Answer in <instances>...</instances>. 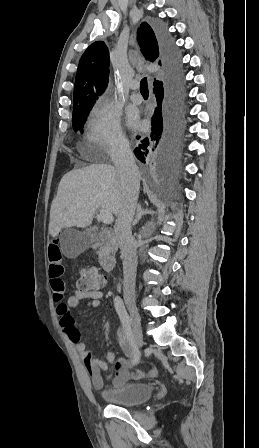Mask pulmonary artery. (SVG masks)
Returning a JSON list of instances; mask_svg holds the SVG:
<instances>
[{
	"instance_id": "e3ab8cb5",
	"label": "pulmonary artery",
	"mask_w": 259,
	"mask_h": 448,
	"mask_svg": "<svg viewBox=\"0 0 259 448\" xmlns=\"http://www.w3.org/2000/svg\"><path fill=\"white\" fill-rule=\"evenodd\" d=\"M139 85H140L139 82L137 80H134V81L131 82L130 88L132 90H136L137 88H139ZM130 99H131V101L133 103H136V104L141 103V101H142V97L140 95H138V94H135V93H133L130 96Z\"/></svg>"
}]
</instances>
